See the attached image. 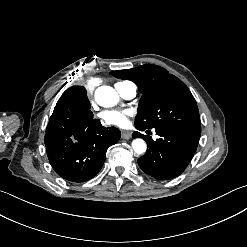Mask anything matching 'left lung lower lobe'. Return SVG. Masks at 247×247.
Returning <instances> with one entry per match:
<instances>
[{"label":"left lung lower lobe","instance_id":"1","mask_svg":"<svg viewBox=\"0 0 247 247\" xmlns=\"http://www.w3.org/2000/svg\"><path fill=\"white\" fill-rule=\"evenodd\" d=\"M156 134L160 138L153 141L150 136L133 133L134 137H141L148 143L147 152L138 159V165L143 172L157 180L175 178L193 158L199 138L172 129H156Z\"/></svg>","mask_w":247,"mask_h":247}]
</instances>
